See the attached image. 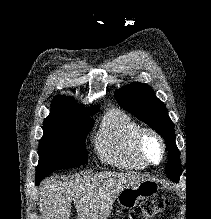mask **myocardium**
Instances as JSON below:
<instances>
[{"label":"myocardium","mask_w":211,"mask_h":219,"mask_svg":"<svg viewBox=\"0 0 211 219\" xmlns=\"http://www.w3.org/2000/svg\"><path fill=\"white\" fill-rule=\"evenodd\" d=\"M153 138L160 146V157L158 161L150 160L143 149V144L146 138ZM135 150L139 158L147 165V166H156L161 164L166 156V144L163 137L153 128L151 127H143L138 131L135 138Z\"/></svg>","instance_id":"f54148a6"}]
</instances>
